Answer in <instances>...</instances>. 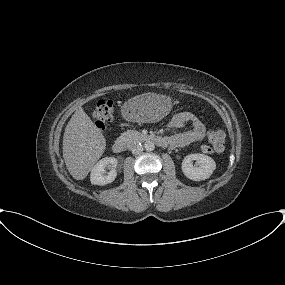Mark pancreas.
<instances>
[{"mask_svg": "<svg viewBox=\"0 0 285 285\" xmlns=\"http://www.w3.org/2000/svg\"><path fill=\"white\" fill-rule=\"evenodd\" d=\"M121 137L137 142L143 138V135L142 133L135 130H127L121 134Z\"/></svg>", "mask_w": 285, "mask_h": 285, "instance_id": "pancreas-1", "label": "pancreas"}]
</instances>
